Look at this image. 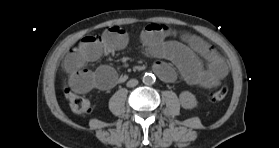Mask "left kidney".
Returning <instances> with one entry per match:
<instances>
[{"label":"left kidney","instance_id":"left-kidney-1","mask_svg":"<svg viewBox=\"0 0 279 148\" xmlns=\"http://www.w3.org/2000/svg\"><path fill=\"white\" fill-rule=\"evenodd\" d=\"M179 100H180L181 106L184 109H193V108L197 107V105H198V101H197L195 95L189 91L181 92L179 95Z\"/></svg>","mask_w":279,"mask_h":148}]
</instances>
